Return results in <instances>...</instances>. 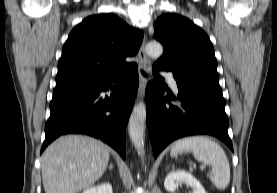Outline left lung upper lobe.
I'll list each match as a JSON object with an SVG mask.
<instances>
[{
    "label": "left lung upper lobe",
    "mask_w": 277,
    "mask_h": 193,
    "mask_svg": "<svg viewBox=\"0 0 277 193\" xmlns=\"http://www.w3.org/2000/svg\"><path fill=\"white\" fill-rule=\"evenodd\" d=\"M154 38L164 47L155 66L172 71L176 80H219L213 45L207 34L189 19L174 13L160 16Z\"/></svg>",
    "instance_id": "obj_1"
}]
</instances>
